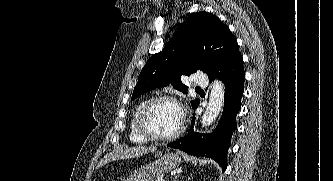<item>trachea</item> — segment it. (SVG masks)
<instances>
[{"mask_svg":"<svg viewBox=\"0 0 333 181\" xmlns=\"http://www.w3.org/2000/svg\"><path fill=\"white\" fill-rule=\"evenodd\" d=\"M196 89H201L200 87H196Z\"/></svg>","mask_w":333,"mask_h":181,"instance_id":"1","label":"trachea"}]
</instances>
